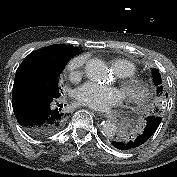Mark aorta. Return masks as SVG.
Returning a JSON list of instances; mask_svg holds the SVG:
<instances>
[{"label":"aorta","instance_id":"1","mask_svg":"<svg viewBox=\"0 0 177 177\" xmlns=\"http://www.w3.org/2000/svg\"><path fill=\"white\" fill-rule=\"evenodd\" d=\"M85 73L88 78L99 82L108 78V69L104 61L98 58L90 59L85 65ZM117 133V126L111 121H104L102 134L106 137H113Z\"/></svg>","mask_w":177,"mask_h":177}]
</instances>
